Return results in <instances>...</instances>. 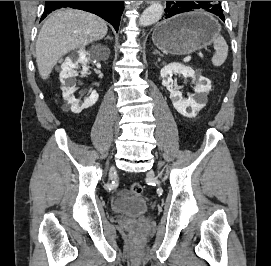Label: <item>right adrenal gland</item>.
Returning a JSON list of instances; mask_svg holds the SVG:
<instances>
[{"mask_svg": "<svg viewBox=\"0 0 271 266\" xmlns=\"http://www.w3.org/2000/svg\"><path fill=\"white\" fill-rule=\"evenodd\" d=\"M106 39L112 40V38L109 35L106 37Z\"/></svg>", "mask_w": 271, "mask_h": 266, "instance_id": "right-adrenal-gland-1", "label": "right adrenal gland"}]
</instances>
